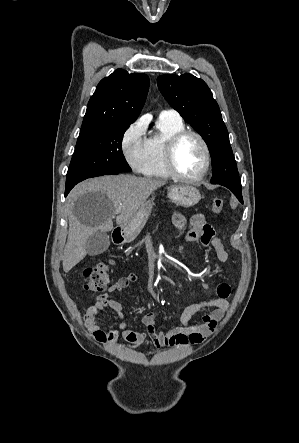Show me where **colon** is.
Returning <instances> with one entry per match:
<instances>
[{"label": "colon", "mask_w": 299, "mask_h": 443, "mask_svg": "<svg viewBox=\"0 0 299 443\" xmlns=\"http://www.w3.org/2000/svg\"><path fill=\"white\" fill-rule=\"evenodd\" d=\"M224 201L221 198H214L212 201V211L219 214L223 211ZM110 263L100 262L94 267H88L84 270L85 288L92 292L100 291L106 288L110 282L109 278Z\"/></svg>", "instance_id": "1"}]
</instances>
